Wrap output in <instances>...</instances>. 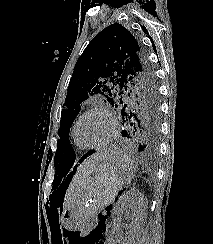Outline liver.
Returning a JSON list of instances; mask_svg holds the SVG:
<instances>
[{"mask_svg":"<svg viewBox=\"0 0 213 244\" xmlns=\"http://www.w3.org/2000/svg\"><path fill=\"white\" fill-rule=\"evenodd\" d=\"M107 153H95L91 157L87 158L77 169L64 200V209L67 208L73 199L78 188L86 181L89 175L96 168L97 163L104 158Z\"/></svg>","mask_w":213,"mask_h":244,"instance_id":"liver-1","label":"liver"}]
</instances>
